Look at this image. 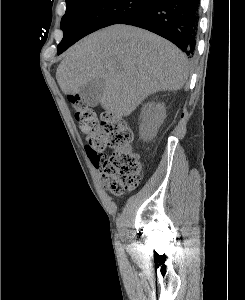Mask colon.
Listing matches in <instances>:
<instances>
[{"mask_svg":"<svg viewBox=\"0 0 245 300\" xmlns=\"http://www.w3.org/2000/svg\"><path fill=\"white\" fill-rule=\"evenodd\" d=\"M75 117L87 136L85 150L92 163L100 168L110 192L121 195L135 189L141 182V163L133 150V133L117 115L104 113L101 117L78 97H71ZM110 148L111 154L104 151Z\"/></svg>","mask_w":245,"mask_h":300,"instance_id":"1","label":"colon"}]
</instances>
